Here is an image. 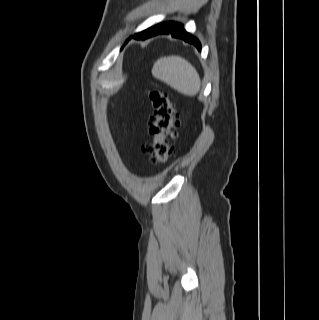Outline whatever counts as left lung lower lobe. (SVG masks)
Instances as JSON below:
<instances>
[{"mask_svg": "<svg viewBox=\"0 0 319 320\" xmlns=\"http://www.w3.org/2000/svg\"><path fill=\"white\" fill-rule=\"evenodd\" d=\"M158 34H172V37L181 38L185 42H188V43L195 45L198 50H201V44L198 41V39L195 38L194 36L190 35L188 32H186L185 29H183V26L181 24L174 23V22H167V23L155 25V26L148 28L140 33L134 34L133 37L135 39L144 40L146 38H149V37H152V36H155Z\"/></svg>", "mask_w": 319, "mask_h": 320, "instance_id": "0a47b994", "label": "left lung lower lobe"}]
</instances>
